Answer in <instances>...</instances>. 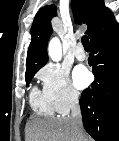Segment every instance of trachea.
Returning <instances> with one entry per match:
<instances>
[{"label": "trachea", "instance_id": "1", "mask_svg": "<svg viewBox=\"0 0 119 141\" xmlns=\"http://www.w3.org/2000/svg\"><path fill=\"white\" fill-rule=\"evenodd\" d=\"M82 41V44L84 46L85 49H91V45H90V42H89V39L86 35H84L81 39Z\"/></svg>", "mask_w": 119, "mask_h": 141}]
</instances>
